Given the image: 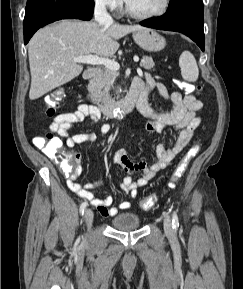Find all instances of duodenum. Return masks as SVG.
<instances>
[{
  "label": "duodenum",
  "instance_id": "1",
  "mask_svg": "<svg viewBox=\"0 0 243 289\" xmlns=\"http://www.w3.org/2000/svg\"><path fill=\"white\" fill-rule=\"evenodd\" d=\"M97 74L98 69L90 67L84 71L83 78L90 82ZM85 96L90 102L98 106L104 116L115 117L121 113L131 112L135 109L141 112L147 98V93L141 87H131L128 94L121 100H99L93 95L90 88L87 87Z\"/></svg>",
  "mask_w": 243,
  "mask_h": 289
}]
</instances>
